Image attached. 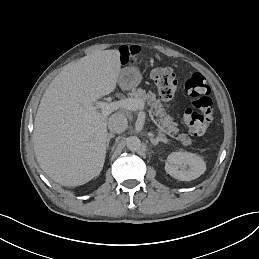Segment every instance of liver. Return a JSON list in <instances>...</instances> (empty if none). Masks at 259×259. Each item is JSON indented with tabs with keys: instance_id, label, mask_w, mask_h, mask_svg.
<instances>
[{
	"instance_id": "liver-1",
	"label": "liver",
	"mask_w": 259,
	"mask_h": 259,
	"mask_svg": "<svg viewBox=\"0 0 259 259\" xmlns=\"http://www.w3.org/2000/svg\"><path fill=\"white\" fill-rule=\"evenodd\" d=\"M118 50L95 51L64 67L46 89L34 120V153L55 182L79 186L103 169L108 117L93 103L117 88Z\"/></svg>"
}]
</instances>
